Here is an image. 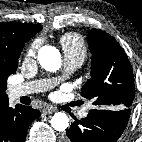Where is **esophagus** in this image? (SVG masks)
Returning <instances> with one entry per match:
<instances>
[{"label":"esophagus","instance_id":"1","mask_svg":"<svg viewBox=\"0 0 142 142\" xmlns=\"http://www.w3.org/2000/svg\"><path fill=\"white\" fill-rule=\"evenodd\" d=\"M57 109L53 108L52 106H46L42 109V114L43 115H49L52 114L56 111Z\"/></svg>","mask_w":142,"mask_h":142}]
</instances>
